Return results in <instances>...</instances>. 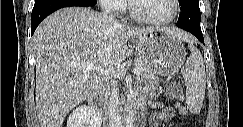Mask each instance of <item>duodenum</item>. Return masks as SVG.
<instances>
[{"instance_id": "duodenum-1", "label": "duodenum", "mask_w": 243, "mask_h": 127, "mask_svg": "<svg viewBox=\"0 0 243 127\" xmlns=\"http://www.w3.org/2000/svg\"><path fill=\"white\" fill-rule=\"evenodd\" d=\"M104 85L103 83H98L96 88L93 90L92 93H90L87 97V103L92 108L99 110L102 105V91H103ZM144 101L142 98H138L134 100L129 105V110L133 112L135 116H138L144 112Z\"/></svg>"}]
</instances>
